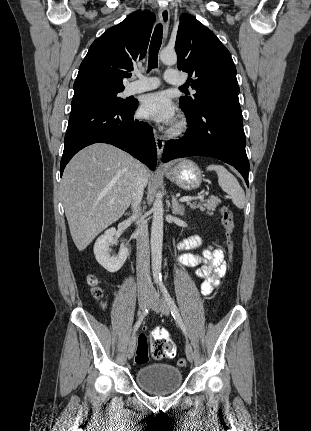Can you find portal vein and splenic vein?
Here are the masks:
<instances>
[{"label": "portal vein and splenic vein", "instance_id": "18ae733b", "mask_svg": "<svg viewBox=\"0 0 311 431\" xmlns=\"http://www.w3.org/2000/svg\"><path fill=\"white\" fill-rule=\"evenodd\" d=\"M204 194H206V192H204ZM204 196H202V194H198V196H194V198H192V196H186V198H180L179 202H192V200H203ZM111 206L112 204H114V202H110Z\"/></svg>", "mask_w": 311, "mask_h": 431}]
</instances>
